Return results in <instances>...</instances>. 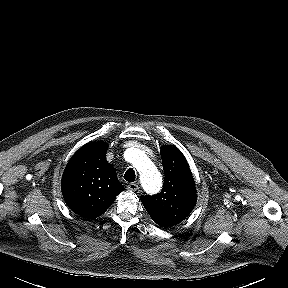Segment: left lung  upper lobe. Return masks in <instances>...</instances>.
Instances as JSON below:
<instances>
[{
  "mask_svg": "<svg viewBox=\"0 0 288 288\" xmlns=\"http://www.w3.org/2000/svg\"><path fill=\"white\" fill-rule=\"evenodd\" d=\"M165 179L162 191L141 196L146 211L159 226L176 225L184 220L196 204L195 184L182 152L172 146L161 149Z\"/></svg>",
  "mask_w": 288,
  "mask_h": 288,
  "instance_id": "5c2ea615",
  "label": "left lung upper lobe"
}]
</instances>
